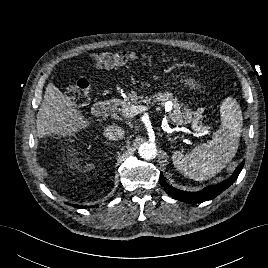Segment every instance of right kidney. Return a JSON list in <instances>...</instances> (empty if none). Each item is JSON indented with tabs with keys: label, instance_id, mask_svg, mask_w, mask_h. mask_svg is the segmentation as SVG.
<instances>
[{
	"label": "right kidney",
	"instance_id": "obj_1",
	"mask_svg": "<svg viewBox=\"0 0 268 268\" xmlns=\"http://www.w3.org/2000/svg\"><path fill=\"white\" fill-rule=\"evenodd\" d=\"M93 168V165L92 164H87V166H85V169L86 170H90Z\"/></svg>",
	"mask_w": 268,
	"mask_h": 268
}]
</instances>
